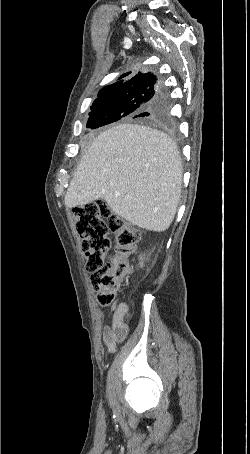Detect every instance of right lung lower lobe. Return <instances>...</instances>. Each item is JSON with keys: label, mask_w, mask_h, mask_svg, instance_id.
<instances>
[{"label": "right lung lower lobe", "mask_w": 250, "mask_h": 454, "mask_svg": "<svg viewBox=\"0 0 250 454\" xmlns=\"http://www.w3.org/2000/svg\"><path fill=\"white\" fill-rule=\"evenodd\" d=\"M150 112L158 118L168 119L170 112V100L168 94L160 91V96L153 102L146 114Z\"/></svg>", "instance_id": "1"}]
</instances>
